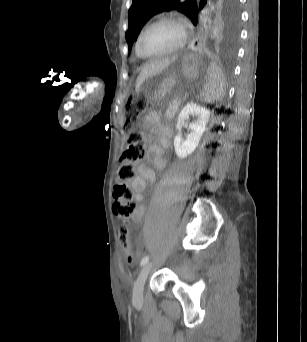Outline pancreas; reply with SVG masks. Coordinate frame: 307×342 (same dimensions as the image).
I'll use <instances>...</instances> for the list:
<instances>
[{
	"label": "pancreas",
	"instance_id": "1",
	"mask_svg": "<svg viewBox=\"0 0 307 342\" xmlns=\"http://www.w3.org/2000/svg\"><path fill=\"white\" fill-rule=\"evenodd\" d=\"M171 105L172 106H166L165 107V109H164L165 110V112H164L165 117H174V115H175L174 110L176 107H179L180 102H179V100H172Z\"/></svg>",
	"mask_w": 307,
	"mask_h": 342
}]
</instances>
